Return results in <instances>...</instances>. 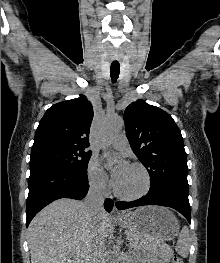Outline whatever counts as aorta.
<instances>
[{
    "label": "aorta",
    "mask_w": 220,
    "mask_h": 263,
    "mask_svg": "<svg viewBox=\"0 0 220 263\" xmlns=\"http://www.w3.org/2000/svg\"><path fill=\"white\" fill-rule=\"evenodd\" d=\"M124 126V121L120 117H108L101 128V140H102V149L105 152V156L108 162H111V158L107 153L108 141L109 139L117 132L121 131ZM113 263H116L114 260Z\"/></svg>",
    "instance_id": "aorta-1"
}]
</instances>
